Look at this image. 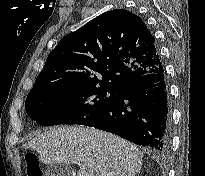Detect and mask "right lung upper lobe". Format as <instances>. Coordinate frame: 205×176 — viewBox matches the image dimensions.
Returning <instances> with one entry per match:
<instances>
[{
    "instance_id": "cb5924a9",
    "label": "right lung upper lobe",
    "mask_w": 205,
    "mask_h": 176,
    "mask_svg": "<svg viewBox=\"0 0 205 176\" xmlns=\"http://www.w3.org/2000/svg\"><path fill=\"white\" fill-rule=\"evenodd\" d=\"M162 68L154 38L142 19L117 9L63 37L48 55L29 94L70 86L119 90Z\"/></svg>"
}]
</instances>
